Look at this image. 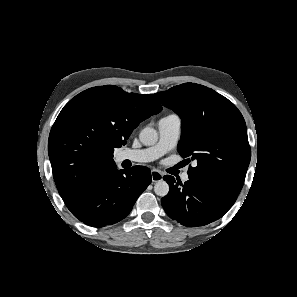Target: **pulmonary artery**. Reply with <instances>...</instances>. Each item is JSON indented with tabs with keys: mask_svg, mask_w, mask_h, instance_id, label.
<instances>
[{
	"mask_svg": "<svg viewBox=\"0 0 297 297\" xmlns=\"http://www.w3.org/2000/svg\"><path fill=\"white\" fill-rule=\"evenodd\" d=\"M159 141L156 145L137 150L122 151L118 159L120 161L129 160L131 162L147 163L154 161L172 149L181 133V120L177 115H169L162 118L158 123ZM187 173L182 175L184 182L188 181Z\"/></svg>",
	"mask_w": 297,
	"mask_h": 297,
	"instance_id": "e3ab8cb5",
	"label": "pulmonary artery"
}]
</instances>
